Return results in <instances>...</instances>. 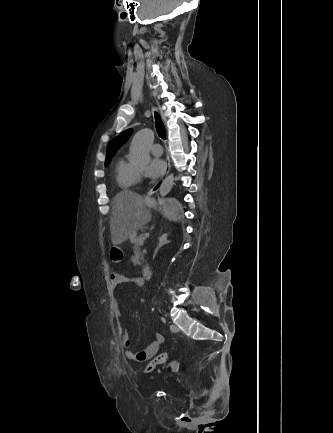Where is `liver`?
<instances>
[{
  "label": "liver",
  "mask_w": 333,
  "mask_h": 433,
  "mask_svg": "<svg viewBox=\"0 0 333 433\" xmlns=\"http://www.w3.org/2000/svg\"><path fill=\"white\" fill-rule=\"evenodd\" d=\"M152 216L145 208L142 196L130 190H124L115 195L112 202L110 219L111 241L119 245L136 235L137 231L146 225Z\"/></svg>",
  "instance_id": "liver-1"
}]
</instances>
